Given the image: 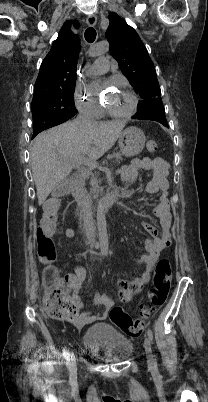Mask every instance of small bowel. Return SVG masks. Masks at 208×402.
<instances>
[{"instance_id":"obj_1","label":"small bowel","mask_w":208,"mask_h":402,"mask_svg":"<svg viewBox=\"0 0 208 402\" xmlns=\"http://www.w3.org/2000/svg\"><path fill=\"white\" fill-rule=\"evenodd\" d=\"M141 169L153 171V177L147 183L145 192L148 194L160 192V200L158 205L153 209V215L160 221L161 230L159 231L156 227L148 222H142V226L147 231L155 235L156 238L154 240L147 241V253L142 256L136 264V268L140 265L145 266L141 276L132 282H127L124 280L117 281L119 299L122 302L128 301L134 292L139 291L143 284L149 281L150 271L157 260L158 254L165 248L169 247L172 243V218L168 195V163L161 157H144L141 159H134L130 164L125 165L121 169L122 180L131 185L135 184L139 178V171ZM67 235L72 236V231L68 230ZM85 277V269L79 265H75L73 273L68 275L64 280H72V290L75 291L80 287ZM73 300L80 308L81 305L77 301V298L74 297ZM94 301L103 306V313L95 314L92 317L79 316L77 321L76 318H72L70 315H65L64 317L58 315L55 318L56 323L61 324V328L63 330H81L85 327L84 323L91 321H94L95 324L104 323L107 312L114 305V302L111 298L103 294H96L94 296Z\"/></svg>"}]
</instances>
